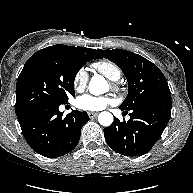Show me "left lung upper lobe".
Wrapping results in <instances>:
<instances>
[{"label": "left lung upper lobe", "instance_id": "left-lung-upper-lobe-1", "mask_svg": "<svg viewBox=\"0 0 193 193\" xmlns=\"http://www.w3.org/2000/svg\"><path fill=\"white\" fill-rule=\"evenodd\" d=\"M99 53L120 67L127 78L128 95L120 108L129 111L171 94L163 73L146 58L121 49L99 50Z\"/></svg>", "mask_w": 193, "mask_h": 193}]
</instances>
